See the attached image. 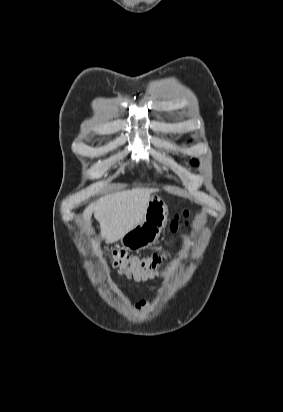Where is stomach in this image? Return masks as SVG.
<instances>
[{
    "label": "stomach",
    "instance_id": "1",
    "mask_svg": "<svg viewBox=\"0 0 283 412\" xmlns=\"http://www.w3.org/2000/svg\"><path fill=\"white\" fill-rule=\"evenodd\" d=\"M168 221V207L160 197H151L144 219L121 238L127 250H141L152 245Z\"/></svg>",
    "mask_w": 283,
    "mask_h": 412
}]
</instances>
